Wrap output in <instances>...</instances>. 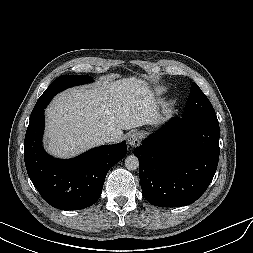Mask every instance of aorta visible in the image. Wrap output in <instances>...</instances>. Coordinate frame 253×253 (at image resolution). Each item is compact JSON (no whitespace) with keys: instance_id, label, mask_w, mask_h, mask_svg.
Listing matches in <instances>:
<instances>
[{"instance_id":"obj_1","label":"aorta","mask_w":253,"mask_h":253,"mask_svg":"<svg viewBox=\"0 0 253 253\" xmlns=\"http://www.w3.org/2000/svg\"><path fill=\"white\" fill-rule=\"evenodd\" d=\"M126 169L133 171L139 167V160L135 155H129L125 159Z\"/></svg>"}]
</instances>
